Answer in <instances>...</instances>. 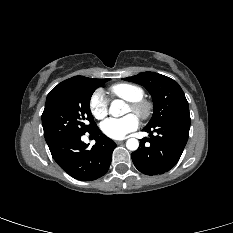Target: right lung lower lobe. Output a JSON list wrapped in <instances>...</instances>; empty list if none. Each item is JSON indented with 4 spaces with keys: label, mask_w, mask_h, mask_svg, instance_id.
I'll return each instance as SVG.
<instances>
[{
    "label": "right lung lower lobe",
    "mask_w": 233,
    "mask_h": 233,
    "mask_svg": "<svg viewBox=\"0 0 233 233\" xmlns=\"http://www.w3.org/2000/svg\"><path fill=\"white\" fill-rule=\"evenodd\" d=\"M95 135V145L81 141V135L68 136L50 145L49 149L57 164L72 177L82 180H95L109 169L114 141L106 137L97 126L88 131Z\"/></svg>",
    "instance_id": "obj_1"
}]
</instances>
